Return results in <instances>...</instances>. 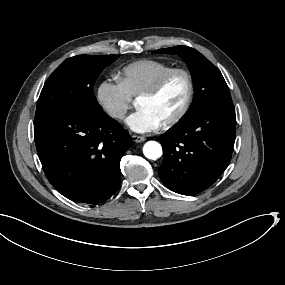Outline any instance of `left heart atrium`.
<instances>
[{"instance_id": "left-heart-atrium-1", "label": "left heart atrium", "mask_w": 285, "mask_h": 285, "mask_svg": "<svg viewBox=\"0 0 285 285\" xmlns=\"http://www.w3.org/2000/svg\"><path fill=\"white\" fill-rule=\"evenodd\" d=\"M160 123L157 116L144 104H139L135 112L127 118L125 124L132 130L140 133L155 129Z\"/></svg>"}]
</instances>
